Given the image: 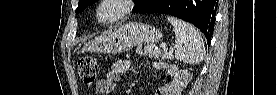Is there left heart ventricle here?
Here are the masks:
<instances>
[{
    "instance_id": "1",
    "label": "left heart ventricle",
    "mask_w": 277,
    "mask_h": 95,
    "mask_svg": "<svg viewBox=\"0 0 277 95\" xmlns=\"http://www.w3.org/2000/svg\"><path fill=\"white\" fill-rule=\"evenodd\" d=\"M114 9V6L107 5L103 7L102 12L104 15H110L111 13H113Z\"/></svg>"
}]
</instances>
